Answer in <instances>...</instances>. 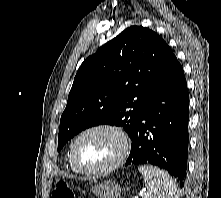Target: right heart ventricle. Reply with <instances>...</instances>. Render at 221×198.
Wrapping results in <instances>:
<instances>
[{
  "mask_svg": "<svg viewBox=\"0 0 221 198\" xmlns=\"http://www.w3.org/2000/svg\"><path fill=\"white\" fill-rule=\"evenodd\" d=\"M68 161H69V165H70L71 169H72L73 171H75V172H78V171L74 168V166L72 165V163H71L70 154H68Z\"/></svg>",
  "mask_w": 221,
  "mask_h": 198,
  "instance_id": "e07e8e85",
  "label": "right heart ventricle"
}]
</instances>
